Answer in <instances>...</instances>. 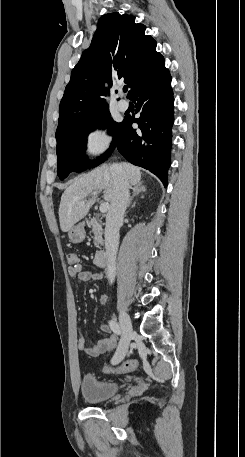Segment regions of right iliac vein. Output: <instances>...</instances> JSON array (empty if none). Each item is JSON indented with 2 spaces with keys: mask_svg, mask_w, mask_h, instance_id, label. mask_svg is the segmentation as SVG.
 I'll use <instances>...</instances> for the list:
<instances>
[{
  "mask_svg": "<svg viewBox=\"0 0 245 457\" xmlns=\"http://www.w3.org/2000/svg\"><path fill=\"white\" fill-rule=\"evenodd\" d=\"M120 324L122 328V336L117 351L111 361L112 364L119 363L125 358L133 334L132 322L125 311H122L120 314Z\"/></svg>",
  "mask_w": 245,
  "mask_h": 457,
  "instance_id": "obj_1",
  "label": "right iliac vein"
}]
</instances>
